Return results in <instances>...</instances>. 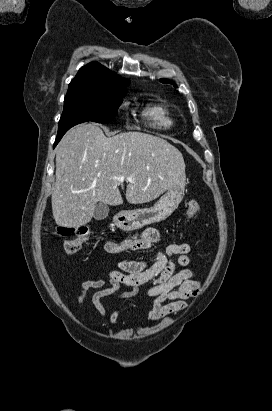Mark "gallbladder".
Wrapping results in <instances>:
<instances>
[{
    "label": "gallbladder",
    "instance_id": "1",
    "mask_svg": "<svg viewBox=\"0 0 272 411\" xmlns=\"http://www.w3.org/2000/svg\"><path fill=\"white\" fill-rule=\"evenodd\" d=\"M109 213V207L105 203H98L95 206V211H94V219L95 220H103L108 216Z\"/></svg>",
    "mask_w": 272,
    "mask_h": 411
}]
</instances>
